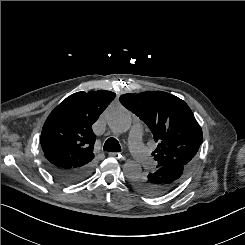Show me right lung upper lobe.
<instances>
[{"label":"right lung upper lobe","instance_id":"right-lung-upper-lobe-1","mask_svg":"<svg viewBox=\"0 0 245 245\" xmlns=\"http://www.w3.org/2000/svg\"><path fill=\"white\" fill-rule=\"evenodd\" d=\"M114 98L115 93L99 90L77 92L63 100L42 128L45 163L69 170L91 164L96 140L91 126Z\"/></svg>","mask_w":245,"mask_h":245}]
</instances>
